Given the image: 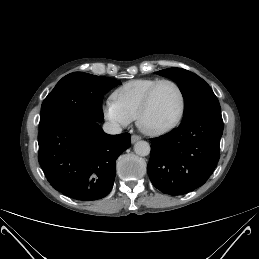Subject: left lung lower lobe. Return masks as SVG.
<instances>
[{
    "instance_id": "obj_1",
    "label": "left lung lower lobe",
    "mask_w": 259,
    "mask_h": 259,
    "mask_svg": "<svg viewBox=\"0 0 259 259\" xmlns=\"http://www.w3.org/2000/svg\"><path fill=\"white\" fill-rule=\"evenodd\" d=\"M221 115H203L151 139L147 172L162 193L183 195L202 186L220 158Z\"/></svg>"
}]
</instances>
